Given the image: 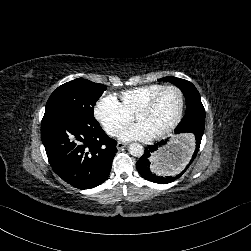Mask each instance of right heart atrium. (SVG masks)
<instances>
[{
    "mask_svg": "<svg viewBox=\"0 0 251 251\" xmlns=\"http://www.w3.org/2000/svg\"><path fill=\"white\" fill-rule=\"evenodd\" d=\"M93 113L110 136H115L130 120L129 111L114 93L100 96L94 104Z\"/></svg>",
    "mask_w": 251,
    "mask_h": 251,
    "instance_id": "obj_1",
    "label": "right heart atrium"
}]
</instances>
